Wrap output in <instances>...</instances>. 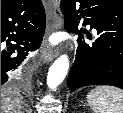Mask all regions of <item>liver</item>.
Here are the masks:
<instances>
[{"instance_id": "obj_1", "label": "liver", "mask_w": 123, "mask_h": 113, "mask_svg": "<svg viewBox=\"0 0 123 113\" xmlns=\"http://www.w3.org/2000/svg\"><path fill=\"white\" fill-rule=\"evenodd\" d=\"M22 95L11 87L1 88V113H24Z\"/></svg>"}]
</instances>
